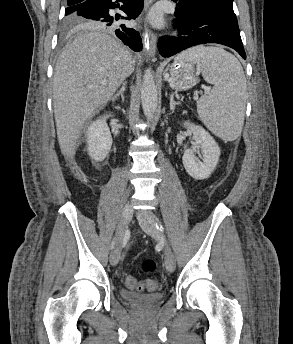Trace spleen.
I'll return each mask as SVG.
<instances>
[{
  "label": "spleen",
  "instance_id": "1",
  "mask_svg": "<svg viewBox=\"0 0 293 344\" xmlns=\"http://www.w3.org/2000/svg\"><path fill=\"white\" fill-rule=\"evenodd\" d=\"M177 58L197 63L204 79L213 84L209 95L197 102L201 121L216 136L236 139L242 131L246 102V79L237 58L222 48L198 46Z\"/></svg>",
  "mask_w": 293,
  "mask_h": 344
}]
</instances>
